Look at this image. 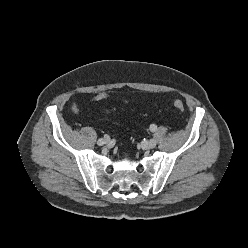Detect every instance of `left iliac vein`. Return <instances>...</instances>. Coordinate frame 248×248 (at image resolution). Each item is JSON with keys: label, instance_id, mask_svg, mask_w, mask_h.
<instances>
[{"label": "left iliac vein", "instance_id": "1", "mask_svg": "<svg viewBox=\"0 0 248 248\" xmlns=\"http://www.w3.org/2000/svg\"><path fill=\"white\" fill-rule=\"evenodd\" d=\"M157 142L155 139H150L147 143L148 148H154L156 146Z\"/></svg>", "mask_w": 248, "mask_h": 248}]
</instances>
